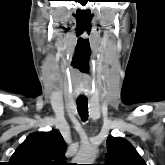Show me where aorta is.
<instances>
[{
	"mask_svg": "<svg viewBox=\"0 0 165 165\" xmlns=\"http://www.w3.org/2000/svg\"><path fill=\"white\" fill-rule=\"evenodd\" d=\"M97 155V150L94 147L81 148L73 161L77 164H93Z\"/></svg>",
	"mask_w": 165,
	"mask_h": 165,
	"instance_id": "obj_1",
	"label": "aorta"
}]
</instances>
